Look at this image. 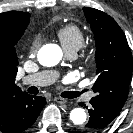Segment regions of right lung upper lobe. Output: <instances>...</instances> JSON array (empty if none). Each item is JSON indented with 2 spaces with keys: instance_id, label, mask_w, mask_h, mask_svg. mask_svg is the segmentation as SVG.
<instances>
[{
  "instance_id": "cb5924a9",
  "label": "right lung upper lobe",
  "mask_w": 133,
  "mask_h": 133,
  "mask_svg": "<svg viewBox=\"0 0 133 133\" xmlns=\"http://www.w3.org/2000/svg\"><path fill=\"white\" fill-rule=\"evenodd\" d=\"M30 21V14L20 11H9L0 14V40L21 38ZM18 60L6 66H0V110L14 96L22 93L15 84Z\"/></svg>"
}]
</instances>
